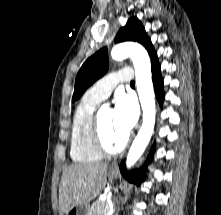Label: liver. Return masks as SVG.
<instances>
[{"mask_svg": "<svg viewBox=\"0 0 221 215\" xmlns=\"http://www.w3.org/2000/svg\"><path fill=\"white\" fill-rule=\"evenodd\" d=\"M107 164H73L63 170L59 187V214L80 204H89L107 181Z\"/></svg>", "mask_w": 221, "mask_h": 215, "instance_id": "1", "label": "liver"}]
</instances>
